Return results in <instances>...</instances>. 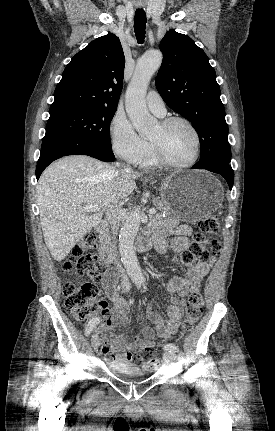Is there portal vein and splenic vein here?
<instances>
[{"mask_svg":"<svg viewBox=\"0 0 275 431\" xmlns=\"http://www.w3.org/2000/svg\"><path fill=\"white\" fill-rule=\"evenodd\" d=\"M83 210L85 212H97V211L100 210V207L97 204H91V205L83 207ZM155 213H156V209L155 208H152V209L149 210V214L150 215H153Z\"/></svg>","mask_w":275,"mask_h":431,"instance_id":"1","label":"portal vein and splenic vein"}]
</instances>
